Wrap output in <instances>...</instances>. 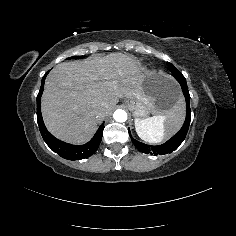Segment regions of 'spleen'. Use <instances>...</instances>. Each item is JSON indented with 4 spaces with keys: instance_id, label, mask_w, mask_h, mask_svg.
Listing matches in <instances>:
<instances>
[{
    "instance_id": "1",
    "label": "spleen",
    "mask_w": 236,
    "mask_h": 236,
    "mask_svg": "<svg viewBox=\"0 0 236 236\" xmlns=\"http://www.w3.org/2000/svg\"><path fill=\"white\" fill-rule=\"evenodd\" d=\"M177 112H170L167 115L155 116L153 118L139 120L135 119V130L140 139L147 143L159 144L166 138V124Z\"/></svg>"
}]
</instances>
